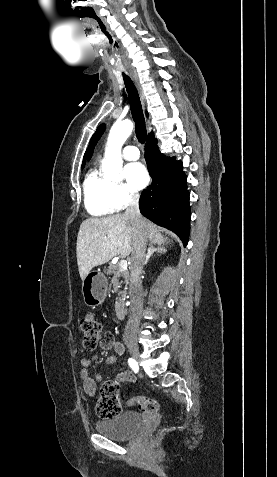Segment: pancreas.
Segmentation results:
<instances>
[{
  "mask_svg": "<svg viewBox=\"0 0 277 477\" xmlns=\"http://www.w3.org/2000/svg\"><path fill=\"white\" fill-rule=\"evenodd\" d=\"M107 274H113L114 278H120L121 276L124 278V281H120L118 284L124 283L126 286L128 285V277H129V272L127 270H121L119 267V264H110L108 268L106 269ZM122 296L124 297L126 295V291L120 292Z\"/></svg>",
  "mask_w": 277,
  "mask_h": 477,
  "instance_id": "1",
  "label": "pancreas"
}]
</instances>
